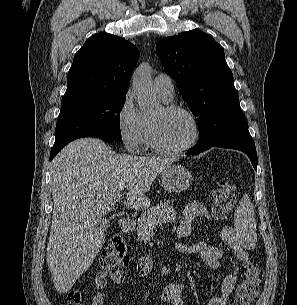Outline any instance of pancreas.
Wrapping results in <instances>:
<instances>
[{"mask_svg":"<svg viewBox=\"0 0 297 305\" xmlns=\"http://www.w3.org/2000/svg\"><path fill=\"white\" fill-rule=\"evenodd\" d=\"M178 214L174 207L170 205V201L162 202L160 205L154 206L144 212L138 222L137 235L141 241H149L158 224L166 222H175Z\"/></svg>","mask_w":297,"mask_h":305,"instance_id":"obj_1","label":"pancreas"}]
</instances>
